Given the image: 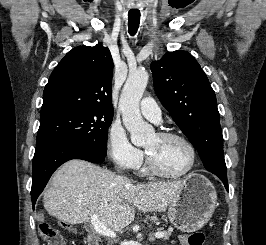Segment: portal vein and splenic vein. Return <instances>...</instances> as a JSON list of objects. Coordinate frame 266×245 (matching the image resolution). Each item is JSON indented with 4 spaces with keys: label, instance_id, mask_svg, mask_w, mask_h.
I'll return each mask as SVG.
<instances>
[{
    "label": "portal vein and splenic vein",
    "instance_id": "1",
    "mask_svg": "<svg viewBox=\"0 0 266 245\" xmlns=\"http://www.w3.org/2000/svg\"><path fill=\"white\" fill-rule=\"evenodd\" d=\"M91 223L96 231V233H99V235H104V237H117L116 233L114 231H111V229H107V227H104L102 223H100L99 219H97L96 215H92L91 217ZM156 239H162L164 237V233H156L155 235Z\"/></svg>",
    "mask_w": 266,
    "mask_h": 245
}]
</instances>
